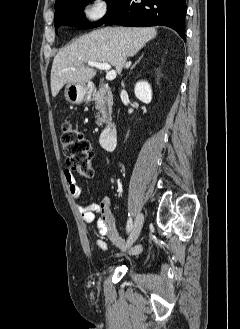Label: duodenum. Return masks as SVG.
I'll use <instances>...</instances> for the list:
<instances>
[{"mask_svg":"<svg viewBox=\"0 0 240 329\" xmlns=\"http://www.w3.org/2000/svg\"><path fill=\"white\" fill-rule=\"evenodd\" d=\"M117 129L114 126H107L100 134V145L106 151H112L115 147Z\"/></svg>","mask_w":240,"mask_h":329,"instance_id":"1","label":"duodenum"}]
</instances>
